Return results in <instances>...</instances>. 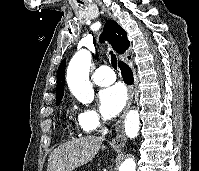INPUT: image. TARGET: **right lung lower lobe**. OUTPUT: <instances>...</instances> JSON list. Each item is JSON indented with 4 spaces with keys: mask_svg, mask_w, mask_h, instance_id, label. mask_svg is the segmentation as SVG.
Masks as SVG:
<instances>
[{
    "mask_svg": "<svg viewBox=\"0 0 199 171\" xmlns=\"http://www.w3.org/2000/svg\"><path fill=\"white\" fill-rule=\"evenodd\" d=\"M119 68L121 69L124 82L131 85L133 83V73L131 68L124 62L119 63Z\"/></svg>",
    "mask_w": 199,
    "mask_h": 171,
    "instance_id": "1",
    "label": "right lung lower lobe"
}]
</instances>
